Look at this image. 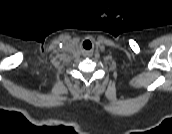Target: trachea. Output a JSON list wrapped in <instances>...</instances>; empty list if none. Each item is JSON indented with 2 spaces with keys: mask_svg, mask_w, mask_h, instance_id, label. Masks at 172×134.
<instances>
[{
  "mask_svg": "<svg viewBox=\"0 0 172 134\" xmlns=\"http://www.w3.org/2000/svg\"><path fill=\"white\" fill-rule=\"evenodd\" d=\"M86 43L89 44L90 48L92 47V44H91V42L89 40L84 41L83 45L86 44Z\"/></svg>",
  "mask_w": 172,
  "mask_h": 134,
  "instance_id": "trachea-1",
  "label": "trachea"
}]
</instances>
